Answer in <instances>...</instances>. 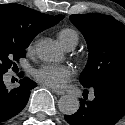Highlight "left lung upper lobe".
I'll use <instances>...</instances> for the list:
<instances>
[{
  "mask_svg": "<svg viewBox=\"0 0 125 125\" xmlns=\"http://www.w3.org/2000/svg\"><path fill=\"white\" fill-rule=\"evenodd\" d=\"M88 45V63L80 76L85 87L106 81H125V26L112 16L71 15Z\"/></svg>",
  "mask_w": 125,
  "mask_h": 125,
  "instance_id": "5c2ea615",
  "label": "left lung upper lobe"
}]
</instances>
